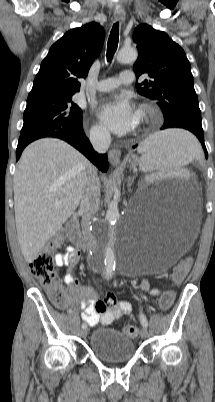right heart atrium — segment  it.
<instances>
[{
  "label": "right heart atrium",
  "mask_w": 215,
  "mask_h": 402,
  "mask_svg": "<svg viewBox=\"0 0 215 402\" xmlns=\"http://www.w3.org/2000/svg\"><path fill=\"white\" fill-rule=\"evenodd\" d=\"M90 137L95 142L103 143L109 139V132L102 124L93 123L90 128Z\"/></svg>",
  "instance_id": "right-heart-atrium-1"
}]
</instances>
